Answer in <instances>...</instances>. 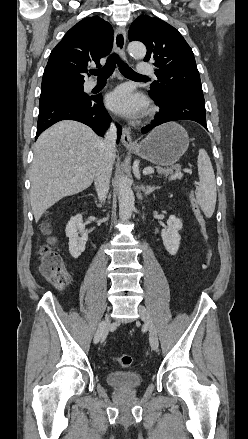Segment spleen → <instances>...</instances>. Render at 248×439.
Returning <instances> with one entry per match:
<instances>
[{"instance_id": "obj_1", "label": "spleen", "mask_w": 248, "mask_h": 439, "mask_svg": "<svg viewBox=\"0 0 248 439\" xmlns=\"http://www.w3.org/2000/svg\"><path fill=\"white\" fill-rule=\"evenodd\" d=\"M199 186L196 189V199L206 217H211L216 205V181L214 170L207 152L199 150L198 155Z\"/></svg>"}]
</instances>
